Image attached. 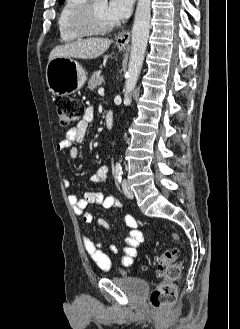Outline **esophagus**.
<instances>
[{"label":"esophagus","mask_w":240,"mask_h":329,"mask_svg":"<svg viewBox=\"0 0 240 329\" xmlns=\"http://www.w3.org/2000/svg\"><path fill=\"white\" fill-rule=\"evenodd\" d=\"M129 41H130V32L129 31L119 32L115 38L116 45L121 48L126 47L129 43Z\"/></svg>","instance_id":"esophagus-1"}]
</instances>
